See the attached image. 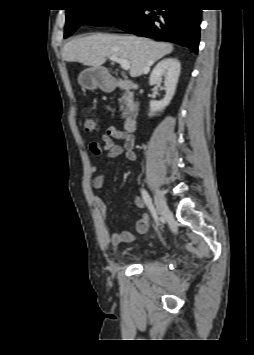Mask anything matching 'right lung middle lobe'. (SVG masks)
I'll list each match as a JSON object with an SVG mask.
<instances>
[{
	"instance_id": "obj_1",
	"label": "right lung middle lobe",
	"mask_w": 254,
	"mask_h": 355,
	"mask_svg": "<svg viewBox=\"0 0 254 355\" xmlns=\"http://www.w3.org/2000/svg\"><path fill=\"white\" fill-rule=\"evenodd\" d=\"M121 4L105 5L97 9H70L66 11L64 38L72 35L81 24L112 26L125 16L130 8L144 0H123Z\"/></svg>"
}]
</instances>
